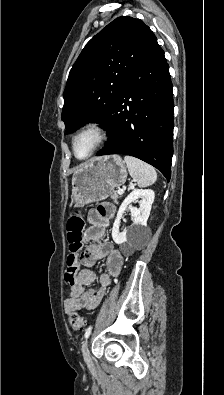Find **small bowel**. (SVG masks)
Listing matches in <instances>:
<instances>
[{"instance_id":"c3829d8e","label":"small bowel","mask_w":224,"mask_h":395,"mask_svg":"<svg viewBox=\"0 0 224 395\" xmlns=\"http://www.w3.org/2000/svg\"><path fill=\"white\" fill-rule=\"evenodd\" d=\"M115 212L113 205L103 204L88 213L90 226L85 231L84 237L90 244L86 247L82 261L85 266L92 267L105 259L107 272L99 276L100 288L98 290L86 289V286L91 285L96 279V273L92 269L85 268L79 272L71 284L69 297L64 301V308L68 314L83 308L95 309L110 285L111 277L118 276L121 272L124 263L122 252L111 242L104 240L107 226Z\"/></svg>"}]
</instances>
